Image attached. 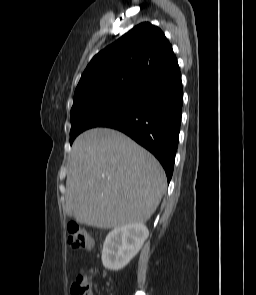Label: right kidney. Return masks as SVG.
<instances>
[{
	"label": "right kidney",
	"mask_w": 256,
	"mask_h": 295,
	"mask_svg": "<svg viewBox=\"0 0 256 295\" xmlns=\"http://www.w3.org/2000/svg\"><path fill=\"white\" fill-rule=\"evenodd\" d=\"M148 235L149 231L142 223L114 228L106 236L103 245V266L113 271L124 268L139 252Z\"/></svg>",
	"instance_id": "right-kidney-1"
}]
</instances>
